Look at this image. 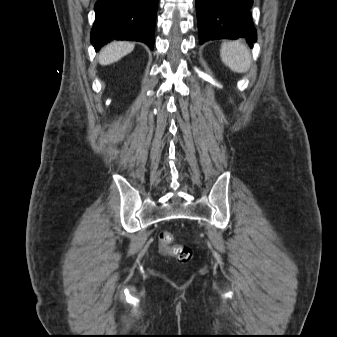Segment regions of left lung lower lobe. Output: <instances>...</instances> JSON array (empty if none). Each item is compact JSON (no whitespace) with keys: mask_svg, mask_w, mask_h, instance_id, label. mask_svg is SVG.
Here are the masks:
<instances>
[{"mask_svg":"<svg viewBox=\"0 0 337 337\" xmlns=\"http://www.w3.org/2000/svg\"><path fill=\"white\" fill-rule=\"evenodd\" d=\"M253 0H196L200 44L214 39L257 40L251 17Z\"/></svg>","mask_w":337,"mask_h":337,"instance_id":"obj_1","label":"left lung lower lobe"}]
</instances>
